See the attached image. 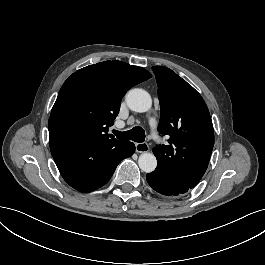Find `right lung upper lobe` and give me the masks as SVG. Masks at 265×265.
Returning <instances> with one entry per match:
<instances>
[{
    "mask_svg": "<svg viewBox=\"0 0 265 265\" xmlns=\"http://www.w3.org/2000/svg\"><path fill=\"white\" fill-rule=\"evenodd\" d=\"M151 76L144 68L116 60L76 71L59 91L48 122L49 136L66 135L93 141L115 139L107 132L119 112L122 97ZM62 116L75 120L67 132L56 128V121Z\"/></svg>",
    "mask_w": 265,
    "mask_h": 265,
    "instance_id": "1",
    "label": "right lung upper lobe"
}]
</instances>
